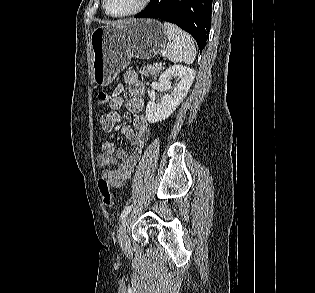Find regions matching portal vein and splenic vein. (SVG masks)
<instances>
[{"label":"portal vein and splenic vein","mask_w":315,"mask_h":293,"mask_svg":"<svg viewBox=\"0 0 315 293\" xmlns=\"http://www.w3.org/2000/svg\"><path fill=\"white\" fill-rule=\"evenodd\" d=\"M155 66H158V63H155Z\"/></svg>","instance_id":"portal-vein-and-splenic-vein-1"}]
</instances>
